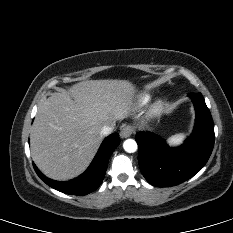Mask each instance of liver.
<instances>
[{
  "mask_svg": "<svg viewBox=\"0 0 233 233\" xmlns=\"http://www.w3.org/2000/svg\"><path fill=\"white\" fill-rule=\"evenodd\" d=\"M135 86L127 80H90L54 93L39 107L31 130V156L49 178L81 174L93 159L105 125L133 111Z\"/></svg>",
  "mask_w": 233,
  "mask_h": 233,
  "instance_id": "liver-1",
  "label": "liver"
}]
</instances>
